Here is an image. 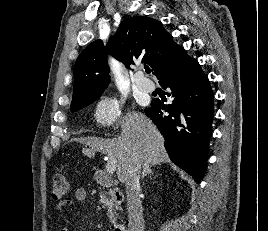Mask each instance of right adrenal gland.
I'll use <instances>...</instances> for the list:
<instances>
[{"label":"right adrenal gland","instance_id":"2a0ac1e0","mask_svg":"<svg viewBox=\"0 0 268 231\" xmlns=\"http://www.w3.org/2000/svg\"><path fill=\"white\" fill-rule=\"evenodd\" d=\"M152 166H154L153 164H147L145 163L143 166V171H142V176L141 179L143 180L147 175L149 174H154L153 170H152Z\"/></svg>","mask_w":268,"mask_h":231}]
</instances>
